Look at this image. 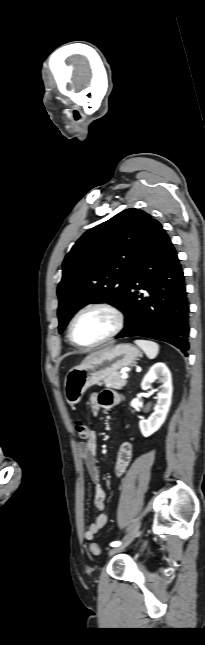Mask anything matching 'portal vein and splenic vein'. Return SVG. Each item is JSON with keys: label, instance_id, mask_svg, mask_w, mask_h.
I'll use <instances>...</instances> for the list:
<instances>
[{"label": "portal vein and splenic vein", "instance_id": "1", "mask_svg": "<svg viewBox=\"0 0 205 645\" xmlns=\"http://www.w3.org/2000/svg\"><path fill=\"white\" fill-rule=\"evenodd\" d=\"M127 378H128V374H127V373L122 374V379H127Z\"/></svg>", "mask_w": 205, "mask_h": 645}]
</instances>
